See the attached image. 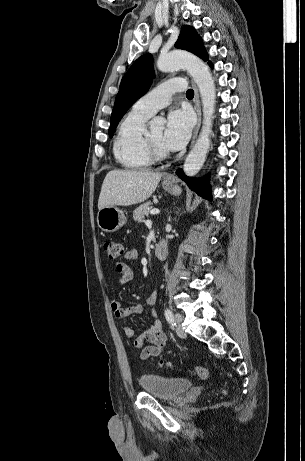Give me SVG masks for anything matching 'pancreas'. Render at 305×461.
<instances>
[{
    "label": "pancreas",
    "mask_w": 305,
    "mask_h": 461,
    "mask_svg": "<svg viewBox=\"0 0 305 461\" xmlns=\"http://www.w3.org/2000/svg\"><path fill=\"white\" fill-rule=\"evenodd\" d=\"M152 204L151 202H146L139 207H137L134 212H133V219L138 222H142L145 218V216H148L149 212L152 209Z\"/></svg>",
    "instance_id": "1"
}]
</instances>
